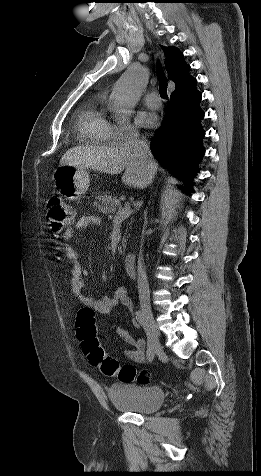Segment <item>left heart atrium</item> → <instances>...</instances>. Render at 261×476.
<instances>
[{
  "label": "left heart atrium",
  "mask_w": 261,
  "mask_h": 476,
  "mask_svg": "<svg viewBox=\"0 0 261 476\" xmlns=\"http://www.w3.org/2000/svg\"><path fill=\"white\" fill-rule=\"evenodd\" d=\"M136 122L142 127H152L157 123V117L151 112L141 111L137 114Z\"/></svg>",
  "instance_id": "left-heart-atrium-1"
}]
</instances>
